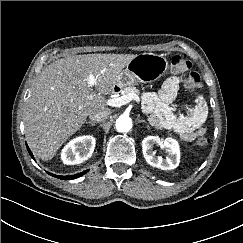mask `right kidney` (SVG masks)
I'll list each match as a JSON object with an SVG mask.
<instances>
[{
  "label": "right kidney",
  "instance_id": "right-kidney-1",
  "mask_svg": "<svg viewBox=\"0 0 243 243\" xmlns=\"http://www.w3.org/2000/svg\"><path fill=\"white\" fill-rule=\"evenodd\" d=\"M95 144V138L90 135L77 137L62 149L61 159L67 165L82 163L92 156Z\"/></svg>",
  "mask_w": 243,
  "mask_h": 243
}]
</instances>
